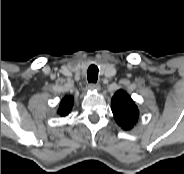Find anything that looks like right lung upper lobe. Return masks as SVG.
Instances as JSON below:
<instances>
[{
  "mask_svg": "<svg viewBox=\"0 0 184 174\" xmlns=\"http://www.w3.org/2000/svg\"><path fill=\"white\" fill-rule=\"evenodd\" d=\"M73 107V97L72 96H65L59 105L58 114L60 116L68 115Z\"/></svg>",
  "mask_w": 184,
  "mask_h": 174,
  "instance_id": "cb5924a9",
  "label": "right lung upper lobe"
}]
</instances>
